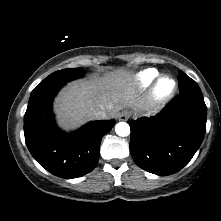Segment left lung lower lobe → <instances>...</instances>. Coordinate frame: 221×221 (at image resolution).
Listing matches in <instances>:
<instances>
[{
    "label": "left lung lower lobe",
    "instance_id": "obj_1",
    "mask_svg": "<svg viewBox=\"0 0 221 221\" xmlns=\"http://www.w3.org/2000/svg\"><path fill=\"white\" fill-rule=\"evenodd\" d=\"M202 93H180L156 116L129 120L130 152L142 169L160 176L180 171L199 149L206 132Z\"/></svg>",
    "mask_w": 221,
    "mask_h": 221
}]
</instances>
